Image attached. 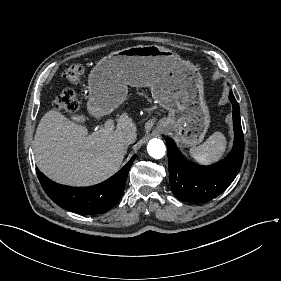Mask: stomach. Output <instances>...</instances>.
<instances>
[{
  "label": "stomach",
  "mask_w": 281,
  "mask_h": 281,
  "mask_svg": "<svg viewBox=\"0 0 281 281\" xmlns=\"http://www.w3.org/2000/svg\"><path fill=\"white\" fill-rule=\"evenodd\" d=\"M128 86L151 88L152 98L168 115L160 121L183 146L200 144L210 127L199 69L173 50L157 45H136L101 58L88 76L87 110L96 117L122 104Z\"/></svg>",
  "instance_id": "obj_1"
}]
</instances>
